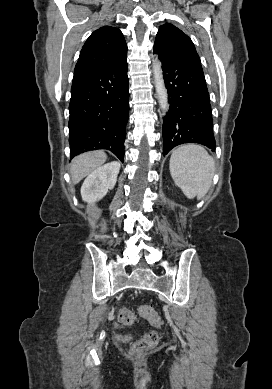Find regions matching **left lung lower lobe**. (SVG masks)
Here are the masks:
<instances>
[{
  "mask_svg": "<svg viewBox=\"0 0 272 389\" xmlns=\"http://www.w3.org/2000/svg\"><path fill=\"white\" fill-rule=\"evenodd\" d=\"M170 109L163 122V155L183 143L215 150L209 93L202 66L169 60L159 53Z\"/></svg>",
  "mask_w": 272,
  "mask_h": 389,
  "instance_id": "0a47b994",
  "label": "left lung lower lobe"
}]
</instances>
